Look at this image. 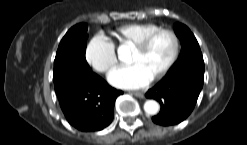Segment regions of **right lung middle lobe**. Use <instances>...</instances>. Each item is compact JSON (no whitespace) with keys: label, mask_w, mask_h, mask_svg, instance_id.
Listing matches in <instances>:
<instances>
[{"label":"right lung middle lobe","mask_w":247,"mask_h":145,"mask_svg":"<svg viewBox=\"0 0 247 145\" xmlns=\"http://www.w3.org/2000/svg\"><path fill=\"white\" fill-rule=\"evenodd\" d=\"M87 29V24H77L62 38L54 61L53 77L73 68L91 70L85 58Z\"/></svg>","instance_id":"obj_1"}]
</instances>
